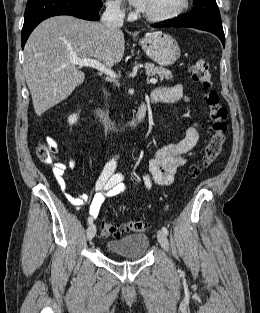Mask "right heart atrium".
Instances as JSON below:
<instances>
[{"label": "right heart atrium", "instance_id": "obj_1", "mask_svg": "<svg viewBox=\"0 0 260 313\" xmlns=\"http://www.w3.org/2000/svg\"><path fill=\"white\" fill-rule=\"evenodd\" d=\"M106 6L108 12L113 15H121L125 11L123 0H108Z\"/></svg>", "mask_w": 260, "mask_h": 313}]
</instances>
